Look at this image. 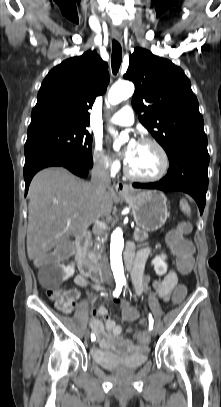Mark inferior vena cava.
I'll list each match as a JSON object with an SVG mask.
<instances>
[{"instance_id": "inferior-vena-cava-1", "label": "inferior vena cava", "mask_w": 221, "mask_h": 407, "mask_svg": "<svg viewBox=\"0 0 221 407\" xmlns=\"http://www.w3.org/2000/svg\"><path fill=\"white\" fill-rule=\"evenodd\" d=\"M110 183L108 164L105 161H97L93 166L90 182L95 198L100 199L105 194ZM101 268L103 274H110L108 259L105 256L101 258Z\"/></svg>"}]
</instances>
